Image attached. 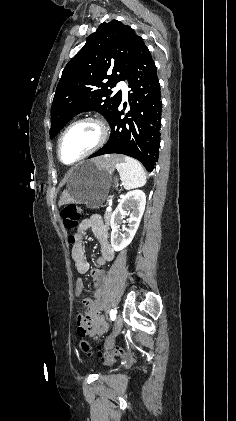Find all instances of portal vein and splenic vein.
Instances as JSON below:
<instances>
[{"label": "portal vein and splenic vein", "instance_id": "portal-vein-and-splenic-vein-1", "mask_svg": "<svg viewBox=\"0 0 236 421\" xmlns=\"http://www.w3.org/2000/svg\"><path fill=\"white\" fill-rule=\"evenodd\" d=\"M106 211H108V213H110V211H112V206H107Z\"/></svg>", "mask_w": 236, "mask_h": 421}]
</instances>
